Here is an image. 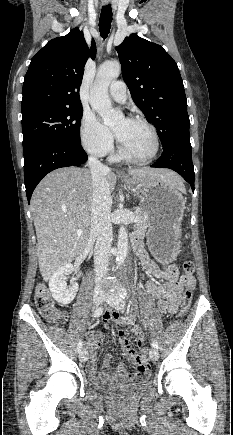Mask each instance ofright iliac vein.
<instances>
[{
    "label": "right iliac vein",
    "instance_id": "63e3f726",
    "mask_svg": "<svg viewBox=\"0 0 233 435\" xmlns=\"http://www.w3.org/2000/svg\"><path fill=\"white\" fill-rule=\"evenodd\" d=\"M102 301H103V294H102V292H94L93 293V303H94V305L98 306V305H100L102 303ZM79 359L82 362H86L88 360V352H87V350L84 349V350H82L79 353Z\"/></svg>",
    "mask_w": 233,
    "mask_h": 435
}]
</instances>
